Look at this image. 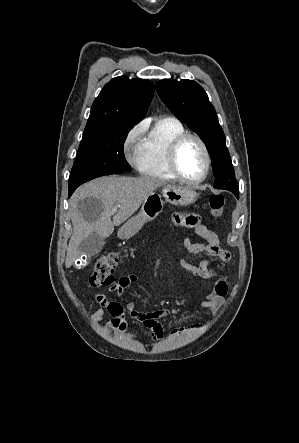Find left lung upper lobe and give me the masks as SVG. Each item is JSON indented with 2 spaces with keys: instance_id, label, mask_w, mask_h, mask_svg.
Here are the masks:
<instances>
[{
  "instance_id": "5c2ea615",
  "label": "left lung upper lobe",
  "mask_w": 299,
  "mask_h": 443,
  "mask_svg": "<svg viewBox=\"0 0 299 443\" xmlns=\"http://www.w3.org/2000/svg\"><path fill=\"white\" fill-rule=\"evenodd\" d=\"M161 100L171 112L200 136L212 159L214 188L238 190L226 139L206 92L193 80L157 82Z\"/></svg>"
}]
</instances>
